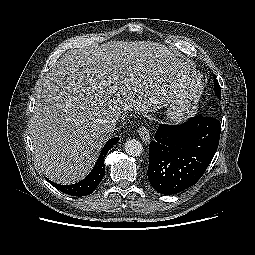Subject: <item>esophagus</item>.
I'll return each mask as SVG.
<instances>
[{
    "mask_svg": "<svg viewBox=\"0 0 255 255\" xmlns=\"http://www.w3.org/2000/svg\"><path fill=\"white\" fill-rule=\"evenodd\" d=\"M138 134L141 137V139L143 140V142H145V143H149L150 142L149 131H148V129L144 125H141L139 127Z\"/></svg>",
    "mask_w": 255,
    "mask_h": 255,
    "instance_id": "34e87169",
    "label": "esophagus"
}]
</instances>
